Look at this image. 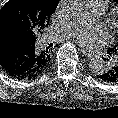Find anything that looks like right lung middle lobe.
I'll list each match as a JSON object with an SVG mask.
<instances>
[{"mask_svg":"<svg viewBox=\"0 0 118 118\" xmlns=\"http://www.w3.org/2000/svg\"><path fill=\"white\" fill-rule=\"evenodd\" d=\"M52 13L45 12L39 0H9L0 10V24L31 37L49 24Z\"/></svg>","mask_w":118,"mask_h":118,"instance_id":"1","label":"right lung middle lobe"}]
</instances>
